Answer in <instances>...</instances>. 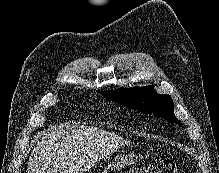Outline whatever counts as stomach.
Instances as JSON below:
<instances>
[{
	"label": "stomach",
	"mask_w": 219,
	"mask_h": 173,
	"mask_svg": "<svg viewBox=\"0 0 219 173\" xmlns=\"http://www.w3.org/2000/svg\"><path fill=\"white\" fill-rule=\"evenodd\" d=\"M134 163V157L132 154L118 155L111 162V169L113 171H122L125 167L130 166Z\"/></svg>",
	"instance_id": "obj_1"
}]
</instances>
